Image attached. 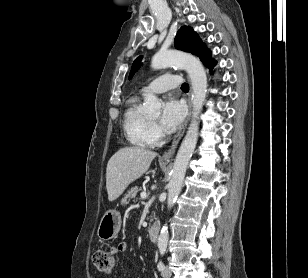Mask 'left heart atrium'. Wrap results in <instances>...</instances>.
Listing matches in <instances>:
<instances>
[{
	"label": "left heart atrium",
	"mask_w": 308,
	"mask_h": 278,
	"mask_svg": "<svg viewBox=\"0 0 308 278\" xmlns=\"http://www.w3.org/2000/svg\"><path fill=\"white\" fill-rule=\"evenodd\" d=\"M185 106L182 102L169 98L162 108L160 124L167 132H174L182 123L185 117Z\"/></svg>",
	"instance_id": "1"
}]
</instances>
